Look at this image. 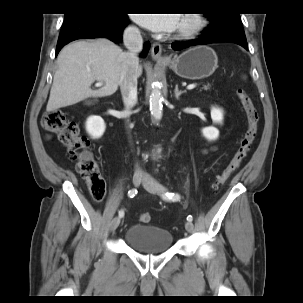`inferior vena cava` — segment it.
I'll return each mask as SVG.
<instances>
[{
	"label": "inferior vena cava",
	"instance_id": "obj_1",
	"mask_svg": "<svg viewBox=\"0 0 303 303\" xmlns=\"http://www.w3.org/2000/svg\"><path fill=\"white\" fill-rule=\"evenodd\" d=\"M123 41L128 51L123 54L119 85L126 113L128 114L137 102L138 55L143 49V39L139 29L130 25L124 30ZM135 173L143 174L138 166Z\"/></svg>",
	"mask_w": 303,
	"mask_h": 303
}]
</instances>
